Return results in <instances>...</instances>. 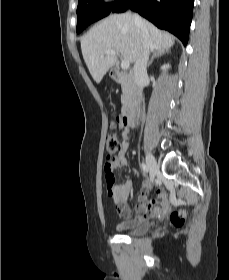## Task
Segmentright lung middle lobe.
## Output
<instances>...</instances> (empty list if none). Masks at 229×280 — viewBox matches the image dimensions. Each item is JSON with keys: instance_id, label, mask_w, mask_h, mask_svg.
I'll list each match as a JSON object with an SVG mask.
<instances>
[{"instance_id": "right-lung-middle-lobe-1", "label": "right lung middle lobe", "mask_w": 229, "mask_h": 280, "mask_svg": "<svg viewBox=\"0 0 229 280\" xmlns=\"http://www.w3.org/2000/svg\"><path fill=\"white\" fill-rule=\"evenodd\" d=\"M113 5L103 3V0H78L77 33L84 30L89 24L107 16Z\"/></svg>"}]
</instances>
